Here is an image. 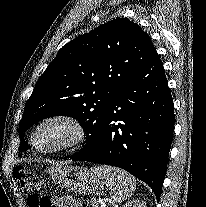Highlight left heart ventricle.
<instances>
[{
    "label": "left heart ventricle",
    "mask_w": 206,
    "mask_h": 207,
    "mask_svg": "<svg viewBox=\"0 0 206 207\" xmlns=\"http://www.w3.org/2000/svg\"><path fill=\"white\" fill-rule=\"evenodd\" d=\"M70 135L71 130L67 125L52 122L38 130L34 142L39 148H51L64 143Z\"/></svg>",
    "instance_id": "1"
}]
</instances>
